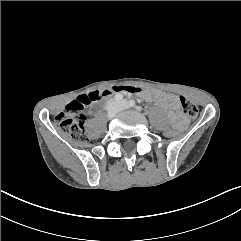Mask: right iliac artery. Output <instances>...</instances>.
<instances>
[{"instance_id":"obj_1","label":"right iliac artery","mask_w":241,"mask_h":241,"mask_svg":"<svg viewBox=\"0 0 241 241\" xmlns=\"http://www.w3.org/2000/svg\"><path fill=\"white\" fill-rule=\"evenodd\" d=\"M123 99V95L122 94H117L116 96H115V100L116 101H121Z\"/></svg>"}]
</instances>
